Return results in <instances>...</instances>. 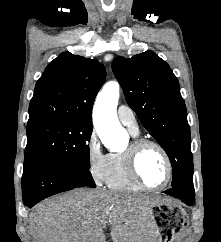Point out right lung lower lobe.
Returning <instances> with one entry per match:
<instances>
[{
	"label": "right lung lower lobe",
	"instance_id": "98d812e1",
	"mask_svg": "<svg viewBox=\"0 0 221 242\" xmlns=\"http://www.w3.org/2000/svg\"><path fill=\"white\" fill-rule=\"evenodd\" d=\"M82 186L96 187L87 168L48 157L24 160L23 202L29 208L51 195Z\"/></svg>",
	"mask_w": 221,
	"mask_h": 242
}]
</instances>
